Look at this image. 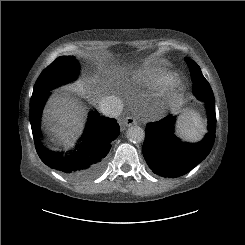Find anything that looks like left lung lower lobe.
<instances>
[{
	"instance_id": "obj_1",
	"label": "left lung lower lobe",
	"mask_w": 245,
	"mask_h": 245,
	"mask_svg": "<svg viewBox=\"0 0 245 245\" xmlns=\"http://www.w3.org/2000/svg\"><path fill=\"white\" fill-rule=\"evenodd\" d=\"M206 103L208 113V133L197 144H188L174 134L175 116L148 123L143 155L151 170L162 177H179L197 166L212 149L216 132L215 99L213 93L208 98H199Z\"/></svg>"
}]
</instances>
